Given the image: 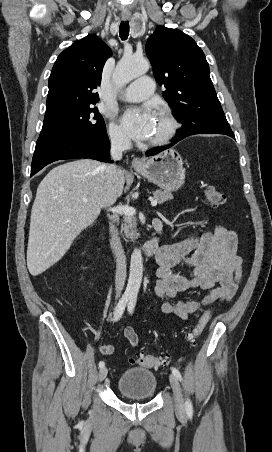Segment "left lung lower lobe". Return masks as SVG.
Here are the masks:
<instances>
[{"mask_svg": "<svg viewBox=\"0 0 272 452\" xmlns=\"http://www.w3.org/2000/svg\"><path fill=\"white\" fill-rule=\"evenodd\" d=\"M200 133H205V134H212V133H206V132H202L200 130H195V129H182L181 131H179L177 133V135L173 138L174 142H172L171 144H169L168 146H164V147H156L153 149H150L146 152V156H152L155 154H158L159 152L170 148L171 146H173L174 144H176L178 141H180L181 139L190 136V135H194V134H200ZM218 134H225L228 135L230 137H234V133L232 132V130L230 131H224L222 133H218Z\"/></svg>", "mask_w": 272, "mask_h": 452, "instance_id": "1", "label": "left lung lower lobe"}]
</instances>
